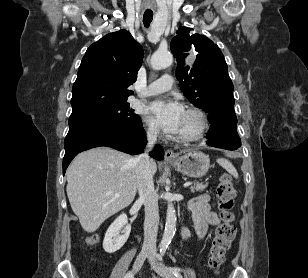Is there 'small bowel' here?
<instances>
[{
    "label": "small bowel",
    "instance_id": "small-bowel-1",
    "mask_svg": "<svg viewBox=\"0 0 308 278\" xmlns=\"http://www.w3.org/2000/svg\"><path fill=\"white\" fill-rule=\"evenodd\" d=\"M188 208L192 214L195 231L199 238L202 239L207 235L210 226L219 224V216L213 210L214 203L209 195L202 194L193 198L189 202ZM182 236L184 239L188 238L189 230L187 228L182 230Z\"/></svg>",
    "mask_w": 308,
    "mask_h": 278
}]
</instances>
